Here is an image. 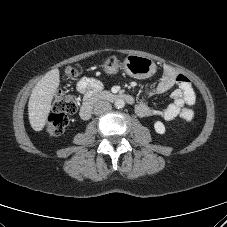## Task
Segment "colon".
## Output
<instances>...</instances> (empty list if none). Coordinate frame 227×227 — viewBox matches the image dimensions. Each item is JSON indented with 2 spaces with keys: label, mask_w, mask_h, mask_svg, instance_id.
<instances>
[{
  "label": "colon",
  "mask_w": 227,
  "mask_h": 227,
  "mask_svg": "<svg viewBox=\"0 0 227 227\" xmlns=\"http://www.w3.org/2000/svg\"><path fill=\"white\" fill-rule=\"evenodd\" d=\"M75 75L76 72L72 71L71 77ZM76 108L77 102L72 95L61 90L58 91L53 100L54 112L48 117L46 122L47 132L53 136L61 135L68 125L67 115L74 113Z\"/></svg>",
  "instance_id": "obj_1"
}]
</instances>
